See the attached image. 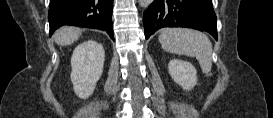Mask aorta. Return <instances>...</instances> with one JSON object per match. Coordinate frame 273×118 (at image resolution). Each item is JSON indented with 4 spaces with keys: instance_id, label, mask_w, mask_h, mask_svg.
Masks as SVG:
<instances>
[{
    "instance_id": "obj_1",
    "label": "aorta",
    "mask_w": 273,
    "mask_h": 118,
    "mask_svg": "<svg viewBox=\"0 0 273 118\" xmlns=\"http://www.w3.org/2000/svg\"><path fill=\"white\" fill-rule=\"evenodd\" d=\"M138 2L141 7H148L151 4L152 0H139Z\"/></svg>"
}]
</instances>
